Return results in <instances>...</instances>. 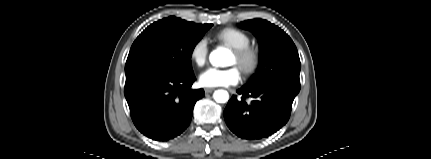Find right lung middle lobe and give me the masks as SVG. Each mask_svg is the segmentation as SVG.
<instances>
[{"label": "right lung middle lobe", "mask_w": 431, "mask_h": 159, "mask_svg": "<svg viewBox=\"0 0 431 159\" xmlns=\"http://www.w3.org/2000/svg\"><path fill=\"white\" fill-rule=\"evenodd\" d=\"M211 26L173 16L154 22L132 44L125 65L126 77L148 68L192 75L193 49Z\"/></svg>", "instance_id": "right-lung-middle-lobe-1"}]
</instances>
